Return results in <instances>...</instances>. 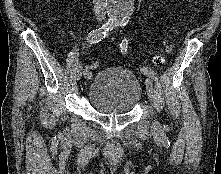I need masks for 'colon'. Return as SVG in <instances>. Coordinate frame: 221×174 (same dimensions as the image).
Here are the masks:
<instances>
[{"mask_svg":"<svg viewBox=\"0 0 221 174\" xmlns=\"http://www.w3.org/2000/svg\"><path fill=\"white\" fill-rule=\"evenodd\" d=\"M200 4H201V2L198 0V1H196V2L194 3V6L197 8V7L200 6ZM163 61H164V59H163L162 57H157V58L155 59V62H156L157 64H161V63H163ZM88 67H89V69H91V70L96 69V68L99 67V62H98V61H92V62L89 63Z\"/></svg>","mask_w":221,"mask_h":174,"instance_id":"5ec220e1","label":"colon"}]
</instances>
